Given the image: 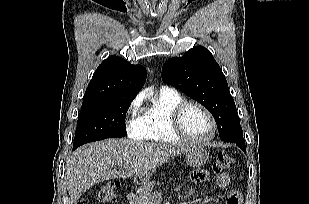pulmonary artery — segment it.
I'll return each instance as SVG.
<instances>
[{"label":"pulmonary artery","mask_w":309,"mask_h":204,"mask_svg":"<svg viewBox=\"0 0 309 204\" xmlns=\"http://www.w3.org/2000/svg\"><path fill=\"white\" fill-rule=\"evenodd\" d=\"M161 90L167 91V90H172V89L167 86H163Z\"/></svg>","instance_id":"pulmonary-artery-1"}]
</instances>
